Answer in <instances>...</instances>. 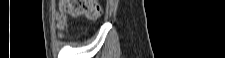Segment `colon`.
I'll return each instance as SVG.
<instances>
[{
    "mask_svg": "<svg viewBox=\"0 0 225 58\" xmlns=\"http://www.w3.org/2000/svg\"><path fill=\"white\" fill-rule=\"evenodd\" d=\"M102 14L99 0H64L61 1L58 12L59 27H64L67 15L73 17L85 16L89 20H96Z\"/></svg>",
    "mask_w": 225,
    "mask_h": 58,
    "instance_id": "colon-1",
    "label": "colon"
}]
</instances>
